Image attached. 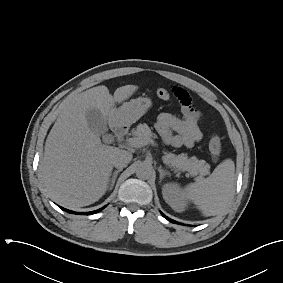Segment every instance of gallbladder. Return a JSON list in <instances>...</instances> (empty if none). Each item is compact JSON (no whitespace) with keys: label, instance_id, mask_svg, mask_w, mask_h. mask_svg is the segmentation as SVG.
<instances>
[{"label":"gallbladder","instance_id":"bac80fb5","mask_svg":"<svg viewBox=\"0 0 283 283\" xmlns=\"http://www.w3.org/2000/svg\"><path fill=\"white\" fill-rule=\"evenodd\" d=\"M88 127L97 135H104L106 133V123L102 113L94 108L89 109L86 114Z\"/></svg>","mask_w":283,"mask_h":283}]
</instances>
